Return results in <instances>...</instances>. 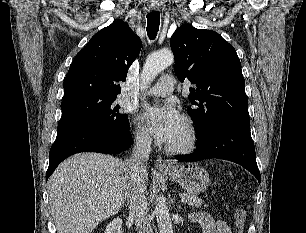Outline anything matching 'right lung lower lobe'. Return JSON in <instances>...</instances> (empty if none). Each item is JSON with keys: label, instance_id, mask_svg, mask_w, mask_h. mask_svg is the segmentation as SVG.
Listing matches in <instances>:
<instances>
[{"label": "right lung lower lobe", "instance_id": "obj_1", "mask_svg": "<svg viewBox=\"0 0 306 233\" xmlns=\"http://www.w3.org/2000/svg\"><path fill=\"white\" fill-rule=\"evenodd\" d=\"M133 143L129 130L116 132L107 129H86L58 139L49 152V167L46 181L64 159L79 152L94 151L118 154L128 149Z\"/></svg>", "mask_w": 306, "mask_h": 233}]
</instances>
